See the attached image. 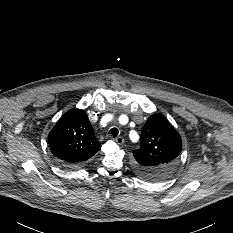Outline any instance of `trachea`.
<instances>
[{"instance_id":"1","label":"trachea","mask_w":233,"mask_h":233,"mask_svg":"<svg viewBox=\"0 0 233 233\" xmlns=\"http://www.w3.org/2000/svg\"><path fill=\"white\" fill-rule=\"evenodd\" d=\"M119 131L117 128H112L109 131V134H111L114 138L118 135Z\"/></svg>"}]
</instances>
